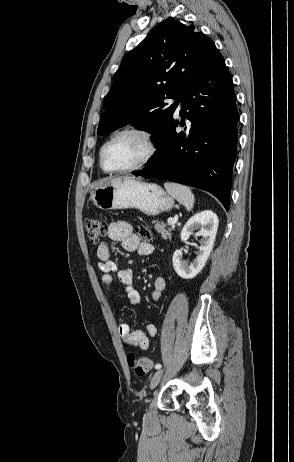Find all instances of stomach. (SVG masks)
Segmentation results:
<instances>
[{"label": "stomach", "mask_w": 294, "mask_h": 462, "mask_svg": "<svg viewBox=\"0 0 294 462\" xmlns=\"http://www.w3.org/2000/svg\"><path fill=\"white\" fill-rule=\"evenodd\" d=\"M90 199L103 210L136 208L150 216L174 206L173 198L157 184L130 177L113 179L93 189Z\"/></svg>", "instance_id": "0dacf381"}]
</instances>
